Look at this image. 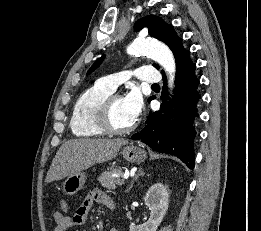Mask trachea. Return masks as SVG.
Listing matches in <instances>:
<instances>
[{
    "instance_id": "obj_1",
    "label": "trachea",
    "mask_w": 261,
    "mask_h": 231,
    "mask_svg": "<svg viewBox=\"0 0 261 231\" xmlns=\"http://www.w3.org/2000/svg\"><path fill=\"white\" fill-rule=\"evenodd\" d=\"M152 87H159V85L158 84H153Z\"/></svg>"
}]
</instances>
